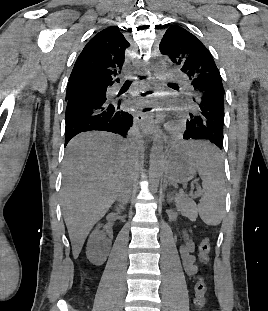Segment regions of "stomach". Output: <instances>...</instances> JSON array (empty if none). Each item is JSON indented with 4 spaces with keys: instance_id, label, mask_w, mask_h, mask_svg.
Here are the masks:
<instances>
[{
    "instance_id": "1",
    "label": "stomach",
    "mask_w": 268,
    "mask_h": 311,
    "mask_svg": "<svg viewBox=\"0 0 268 311\" xmlns=\"http://www.w3.org/2000/svg\"><path fill=\"white\" fill-rule=\"evenodd\" d=\"M165 176L174 183H186L196 175V163L191 147L173 146L163 159Z\"/></svg>"
}]
</instances>
